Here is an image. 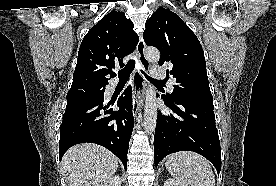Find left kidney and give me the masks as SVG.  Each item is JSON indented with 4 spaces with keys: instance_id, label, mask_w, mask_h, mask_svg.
Masks as SVG:
<instances>
[{
    "instance_id": "5707ae66",
    "label": "left kidney",
    "mask_w": 276,
    "mask_h": 186,
    "mask_svg": "<svg viewBox=\"0 0 276 186\" xmlns=\"http://www.w3.org/2000/svg\"><path fill=\"white\" fill-rule=\"evenodd\" d=\"M164 186H187V185L181 181L176 180V179H167L164 182Z\"/></svg>"
}]
</instances>
